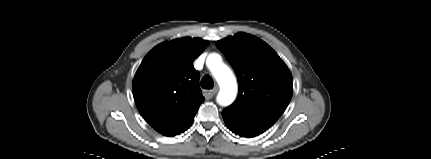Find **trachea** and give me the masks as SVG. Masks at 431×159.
<instances>
[{
  "label": "trachea",
  "instance_id": "trachea-1",
  "mask_svg": "<svg viewBox=\"0 0 431 159\" xmlns=\"http://www.w3.org/2000/svg\"><path fill=\"white\" fill-rule=\"evenodd\" d=\"M201 87L204 89H212L214 87V81L211 76L205 75L201 80Z\"/></svg>",
  "mask_w": 431,
  "mask_h": 159
}]
</instances>
